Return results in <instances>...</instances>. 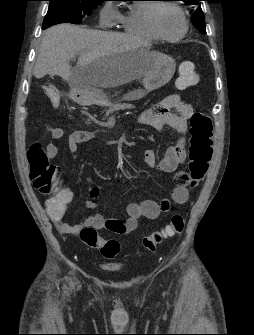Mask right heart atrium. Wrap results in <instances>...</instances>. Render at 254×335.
<instances>
[{
	"mask_svg": "<svg viewBox=\"0 0 254 335\" xmlns=\"http://www.w3.org/2000/svg\"><path fill=\"white\" fill-rule=\"evenodd\" d=\"M118 12L110 2H106L100 10V20L103 25H109L118 19Z\"/></svg>",
	"mask_w": 254,
	"mask_h": 335,
	"instance_id": "d8ad5b80",
	"label": "right heart atrium"
}]
</instances>
